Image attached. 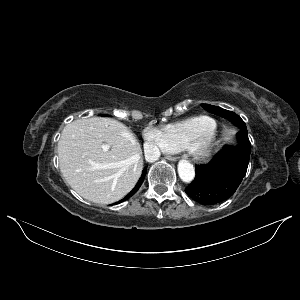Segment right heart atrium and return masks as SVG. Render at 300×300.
Segmentation results:
<instances>
[{
	"label": "right heart atrium",
	"mask_w": 300,
	"mask_h": 300,
	"mask_svg": "<svg viewBox=\"0 0 300 300\" xmlns=\"http://www.w3.org/2000/svg\"><path fill=\"white\" fill-rule=\"evenodd\" d=\"M144 138L149 147L150 153L171 152L170 146L162 130L153 127L147 128L144 131Z\"/></svg>",
	"instance_id": "1"
}]
</instances>
